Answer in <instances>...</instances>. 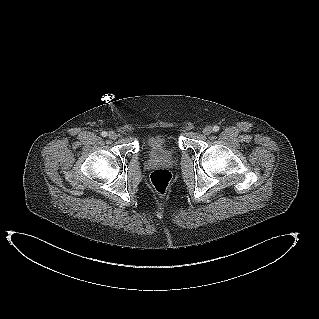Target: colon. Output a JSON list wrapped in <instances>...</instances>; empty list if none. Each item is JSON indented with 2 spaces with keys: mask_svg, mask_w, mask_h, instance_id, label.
Wrapping results in <instances>:
<instances>
[{
  "mask_svg": "<svg viewBox=\"0 0 319 319\" xmlns=\"http://www.w3.org/2000/svg\"><path fill=\"white\" fill-rule=\"evenodd\" d=\"M172 181V173L166 168L155 169L150 175V182L158 193H165Z\"/></svg>",
  "mask_w": 319,
  "mask_h": 319,
  "instance_id": "5ec220e1",
  "label": "colon"
}]
</instances>
